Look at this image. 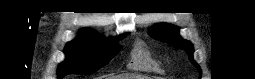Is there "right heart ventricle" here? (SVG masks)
I'll use <instances>...</instances> for the list:
<instances>
[{
	"label": "right heart ventricle",
	"instance_id": "e07e8e85",
	"mask_svg": "<svg viewBox=\"0 0 255 79\" xmlns=\"http://www.w3.org/2000/svg\"><path fill=\"white\" fill-rule=\"evenodd\" d=\"M129 67L133 70L162 72L161 64L141 44H137L131 53Z\"/></svg>",
	"mask_w": 255,
	"mask_h": 79
}]
</instances>
